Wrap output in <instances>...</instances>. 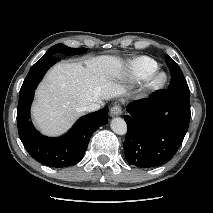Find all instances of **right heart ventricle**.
I'll return each mask as SVG.
<instances>
[{
	"instance_id": "1",
	"label": "right heart ventricle",
	"mask_w": 213,
	"mask_h": 213,
	"mask_svg": "<svg viewBox=\"0 0 213 213\" xmlns=\"http://www.w3.org/2000/svg\"><path fill=\"white\" fill-rule=\"evenodd\" d=\"M158 69V63L147 56H140L130 61L128 66L129 77L141 80L151 76Z\"/></svg>"
}]
</instances>
